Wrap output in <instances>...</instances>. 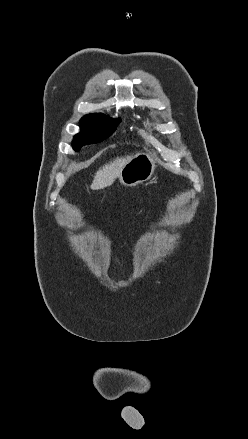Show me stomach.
<instances>
[{
  "instance_id": "1",
  "label": "stomach",
  "mask_w": 248,
  "mask_h": 439,
  "mask_svg": "<svg viewBox=\"0 0 248 439\" xmlns=\"http://www.w3.org/2000/svg\"><path fill=\"white\" fill-rule=\"evenodd\" d=\"M155 167V161L148 153L139 152L124 165L119 181L126 187L137 186L152 177Z\"/></svg>"
}]
</instances>
